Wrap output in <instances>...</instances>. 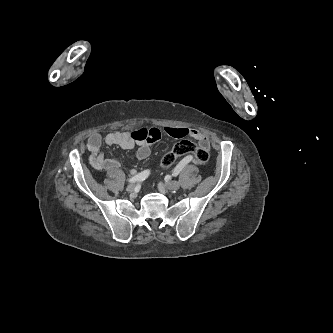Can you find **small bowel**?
<instances>
[{
    "label": "small bowel",
    "instance_id": "obj_1",
    "mask_svg": "<svg viewBox=\"0 0 333 333\" xmlns=\"http://www.w3.org/2000/svg\"><path fill=\"white\" fill-rule=\"evenodd\" d=\"M165 133L173 138H194L200 147L208 150L210 148L209 138L202 132L189 128L165 127L163 130L158 128H142L134 132H111L103 139L99 133L89 136L86 147L90 151V163L98 171L114 173L118 168V161L115 158L105 156L101 151L103 141L107 145L119 146L125 150H131L137 146L136 158L139 161L145 160L150 155V145ZM193 161L192 156H187L183 162L188 164Z\"/></svg>",
    "mask_w": 333,
    "mask_h": 333
}]
</instances>
